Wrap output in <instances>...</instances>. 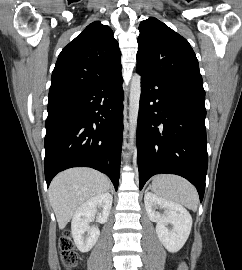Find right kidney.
Masks as SVG:
<instances>
[{
  "instance_id": "1",
  "label": "right kidney",
  "mask_w": 242,
  "mask_h": 270,
  "mask_svg": "<svg viewBox=\"0 0 242 270\" xmlns=\"http://www.w3.org/2000/svg\"><path fill=\"white\" fill-rule=\"evenodd\" d=\"M113 197L110 193H102L85 201L74 213L71 230L72 237L77 248L81 252H88L97 242L100 231L97 227L89 226V222L97 215V221L105 223L108 219ZM97 207L102 208L101 213L97 212ZM88 232V236L85 233Z\"/></svg>"
}]
</instances>
